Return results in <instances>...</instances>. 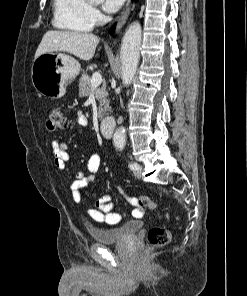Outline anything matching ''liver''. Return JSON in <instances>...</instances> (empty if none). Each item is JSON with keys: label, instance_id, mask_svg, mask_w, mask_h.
Wrapping results in <instances>:
<instances>
[{"label": "liver", "instance_id": "obj_1", "mask_svg": "<svg viewBox=\"0 0 247 296\" xmlns=\"http://www.w3.org/2000/svg\"><path fill=\"white\" fill-rule=\"evenodd\" d=\"M99 38L92 33L51 30L45 33L35 58L45 53L63 51L88 61L95 53Z\"/></svg>", "mask_w": 247, "mask_h": 296}]
</instances>
